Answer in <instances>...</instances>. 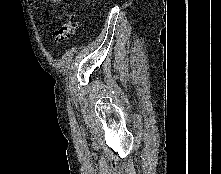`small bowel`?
<instances>
[{"mask_svg":"<svg viewBox=\"0 0 221 174\" xmlns=\"http://www.w3.org/2000/svg\"><path fill=\"white\" fill-rule=\"evenodd\" d=\"M50 2L54 3V4H60L63 2V0H49Z\"/></svg>","mask_w":221,"mask_h":174,"instance_id":"1","label":"small bowel"}]
</instances>
